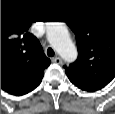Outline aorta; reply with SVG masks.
<instances>
[{
  "mask_svg": "<svg viewBox=\"0 0 115 114\" xmlns=\"http://www.w3.org/2000/svg\"><path fill=\"white\" fill-rule=\"evenodd\" d=\"M48 38L65 61L72 62L77 58V49L65 26L56 24L50 27Z\"/></svg>",
  "mask_w": 115,
  "mask_h": 114,
  "instance_id": "aorta-1",
  "label": "aorta"
}]
</instances>
